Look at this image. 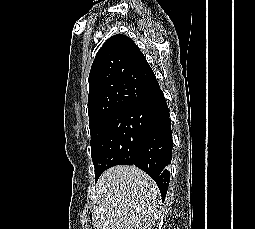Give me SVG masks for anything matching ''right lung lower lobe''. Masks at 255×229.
Instances as JSON below:
<instances>
[{
	"instance_id": "98d812e1",
	"label": "right lung lower lobe",
	"mask_w": 255,
	"mask_h": 229,
	"mask_svg": "<svg viewBox=\"0 0 255 229\" xmlns=\"http://www.w3.org/2000/svg\"><path fill=\"white\" fill-rule=\"evenodd\" d=\"M126 109L144 121L137 154L127 165H135L152 177L164 200L170 181L168 166L172 158V132L169 108L157 80L148 95Z\"/></svg>"
}]
</instances>
